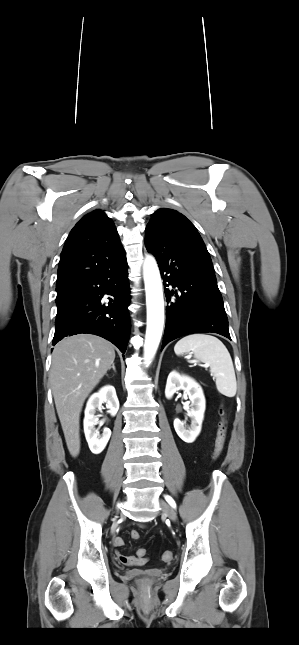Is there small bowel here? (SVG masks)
<instances>
[{
	"label": "small bowel",
	"mask_w": 299,
	"mask_h": 645,
	"mask_svg": "<svg viewBox=\"0 0 299 645\" xmlns=\"http://www.w3.org/2000/svg\"><path fill=\"white\" fill-rule=\"evenodd\" d=\"M123 545H124L123 538L116 537L114 539V546L115 547L119 548V547H122ZM116 556H117L118 561L120 563L124 564V565H138V564H142L145 561L144 558H139L138 556L137 557L127 556V555H124V554L119 553V552L116 553Z\"/></svg>",
	"instance_id": "small-bowel-1"
}]
</instances>
